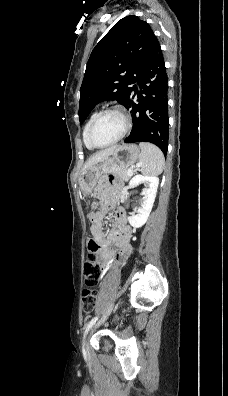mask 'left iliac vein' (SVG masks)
<instances>
[{"label":"left iliac vein","mask_w":228,"mask_h":396,"mask_svg":"<svg viewBox=\"0 0 228 396\" xmlns=\"http://www.w3.org/2000/svg\"><path fill=\"white\" fill-rule=\"evenodd\" d=\"M110 311H111V309H109L107 311V313L96 324H94V326L91 328V330L89 332V335L87 337V340H86V345H88L89 338H90L91 334L93 333L94 329L99 327L107 319L108 315L110 314Z\"/></svg>","instance_id":"left-iliac-vein-1"}]
</instances>
